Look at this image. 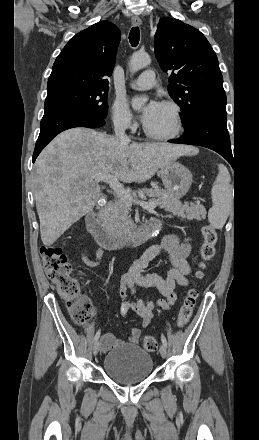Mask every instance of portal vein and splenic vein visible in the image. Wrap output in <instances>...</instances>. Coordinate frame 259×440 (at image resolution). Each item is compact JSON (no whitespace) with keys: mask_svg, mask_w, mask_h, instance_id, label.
I'll return each instance as SVG.
<instances>
[{"mask_svg":"<svg viewBox=\"0 0 259 440\" xmlns=\"http://www.w3.org/2000/svg\"><path fill=\"white\" fill-rule=\"evenodd\" d=\"M93 178L97 181H103L108 183L111 186V188L114 190V192L118 195V197H120L122 201L126 202L129 205L135 203L149 211L155 209L158 206V203L156 201L143 202L133 199V197L118 181L115 175L96 174L93 176Z\"/></svg>","mask_w":259,"mask_h":440,"instance_id":"18ae733b","label":"portal vein and splenic vein"}]
</instances>
